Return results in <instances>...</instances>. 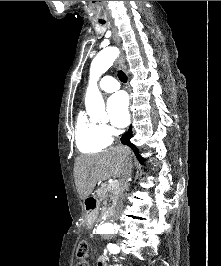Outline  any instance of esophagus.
I'll use <instances>...</instances> for the list:
<instances>
[{
  "instance_id": "obj_1",
  "label": "esophagus",
  "mask_w": 221,
  "mask_h": 266,
  "mask_svg": "<svg viewBox=\"0 0 221 266\" xmlns=\"http://www.w3.org/2000/svg\"><path fill=\"white\" fill-rule=\"evenodd\" d=\"M111 28H112L113 39H114L115 43L119 46L120 45V39H119V36H118V33H117V29L113 25H111ZM117 64L126 72L125 59H124V56H123L122 53L117 58Z\"/></svg>"
}]
</instances>
